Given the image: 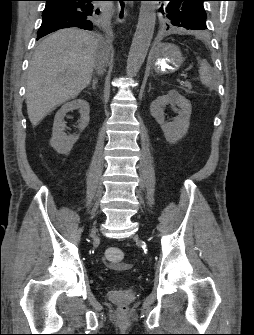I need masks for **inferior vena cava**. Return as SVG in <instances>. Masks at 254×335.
Masks as SVG:
<instances>
[{"label": "inferior vena cava", "mask_w": 254, "mask_h": 335, "mask_svg": "<svg viewBox=\"0 0 254 335\" xmlns=\"http://www.w3.org/2000/svg\"><path fill=\"white\" fill-rule=\"evenodd\" d=\"M97 70H98V72L102 73V67L101 66H98Z\"/></svg>", "instance_id": "obj_1"}]
</instances>
